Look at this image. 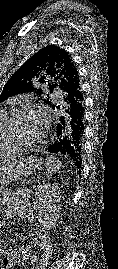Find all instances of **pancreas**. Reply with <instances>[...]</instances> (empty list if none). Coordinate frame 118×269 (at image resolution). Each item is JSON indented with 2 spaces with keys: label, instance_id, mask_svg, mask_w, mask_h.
I'll use <instances>...</instances> for the list:
<instances>
[{
  "label": "pancreas",
  "instance_id": "pancreas-1",
  "mask_svg": "<svg viewBox=\"0 0 118 269\" xmlns=\"http://www.w3.org/2000/svg\"><path fill=\"white\" fill-rule=\"evenodd\" d=\"M28 182H35V177H25V180H20L19 184L20 185H27ZM21 189H24V186H21ZM13 191L14 192H19L20 188L19 187H14Z\"/></svg>",
  "mask_w": 118,
  "mask_h": 269
}]
</instances>
